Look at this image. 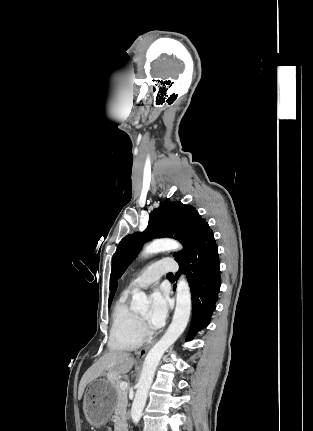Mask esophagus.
Listing matches in <instances>:
<instances>
[{"label":"esophagus","instance_id":"esophagus-1","mask_svg":"<svg viewBox=\"0 0 313 431\" xmlns=\"http://www.w3.org/2000/svg\"><path fill=\"white\" fill-rule=\"evenodd\" d=\"M156 340L152 341L151 343L147 344L144 348H142L138 353H137V359L138 360H142L146 353L148 352V350L150 349V347L155 343Z\"/></svg>","mask_w":313,"mask_h":431}]
</instances>
